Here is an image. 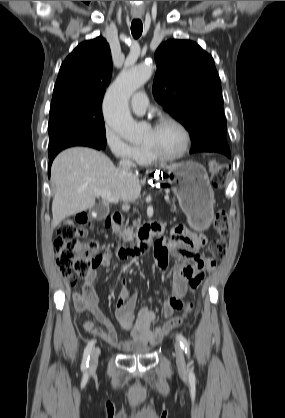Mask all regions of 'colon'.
<instances>
[{"label":"colon","instance_id":"1","mask_svg":"<svg viewBox=\"0 0 285 418\" xmlns=\"http://www.w3.org/2000/svg\"><path fill=\"white\" fill-rule=\"evenodd\" d=\"M226 173L222 165L217 163L211 164V181L214 186L220 187L225 184ZM108 227L111 226L109 220L106 221ZM228 217L224 211H219L214 220V229L216 236L209 244V251L213 257H222L225 255L228 240ZM89 228L88 216L85 213H79L75 218L64 220L59 229L57 237L53 241V247L57 256V262L63 275L70 277L71 284L76 285L79 279L87 278L90 271L99 263L98 258H89V252L96 249L94 242H85L83 237ZM186 231L183 228L176 229V233H183ZM191 247H195L190 243ZM153 254L156 261L163 262L168 257V250L159 239L155 242ZM215 262L207 265V269L213 270ZM185 312L190 310V304H184ZM182 321L181 317H174L159 327L157 331L160 334H167L172 329L176 328Z\"/></svg>","mask_w":285,"mask_h":418}]
</instances>
